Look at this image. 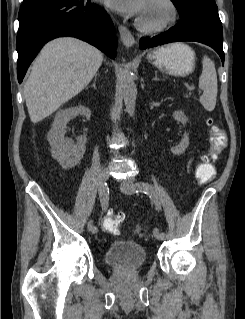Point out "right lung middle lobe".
I'll list each match as a JSON object with an SVG mask.
<instances>
[{
	"mask_svg": "<svg viewBox=\"0 0 245 319\" xmlns=\"http://www.w3.org/2000/svg\"><path fill=\"white\" fill-rule=\"evenodd\" d=\"M32 1H36V0H24V3L32 2Z\"/></svg>",
	"mask_w": 245,
	"mask_h": 319,
	"instance_id": "dd1d6c3e",
	"label": "right lung middle lobe"
}]
</instances>
